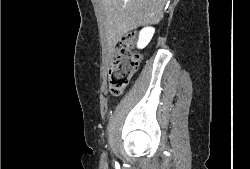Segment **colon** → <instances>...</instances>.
<instances>
[{
    "mask_svg": "<svg viewBox=\"0 0 250 169\" xmlns=\"http://www.w3.org/2000/svg\"><path fill=\"white\" fill-rule=\"evenodd\" d=\"M136 37L135 34H128L119 41L117 54L108 72V86L113 95H120L137 71L140 55L134 49Z\"/></svg>",
    "mask_w": 250,
    "mask_h": 169,
    "instance_id": "5ec220e1",
    "label": "colon"
}]
</instances>
